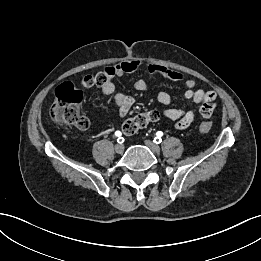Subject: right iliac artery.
Returning <instances> with one entry per match:
<instances>
[{"label": "right iliac artery", "mask_w": 261, "mask_h": 261, "mask_svg": "<svg viewBox=\"0 0 261 261\" xmlns=\"http://www.w3.org/2000/svg\"><path fill=\"white\" fill-rule=\"evenodd\" d=\"M115 135L118 136V139H117V142H118V143L121 144V143L124 142V138L121 137V132H120V131H116V132H115Z\"/></svg>", "instance_id": "1"}]
</instances>
